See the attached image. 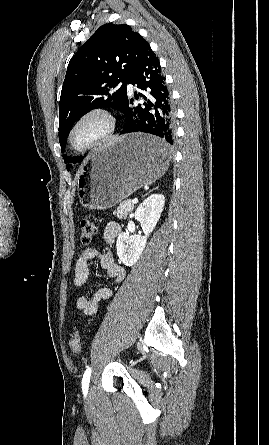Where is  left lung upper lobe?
<instances>
[{"label": "left lung upper lobe", "instance_id": "5c2ea615", "mask_svg": "<svg viewBox=\"0 0 269 445\" xmlns=\"http://www.w3.org/2000/svg\"><path fill=\"white\" fill-rule=\"evenodd\" d=\"M148 42L129 25H102L71 58L59 105V142L62 152L73 124L95 108L123 112L126 85ZM122 82V86L118 84ZM65 163L82 157L64 155ZM71 165H67L70 168Z\"/></svg>", "mask_w": 269, "mask_h": 445}]
</instances>
